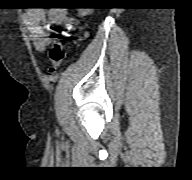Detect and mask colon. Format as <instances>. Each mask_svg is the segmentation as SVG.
Listing matches in <instances>:
<instances>
[{
  "label": "colon",
  "mask_w": 192,
  "mask_h": 180,
  "mask_svg": "<svg viewBox=\"0 0 192 180\" xmlns=\"http://www.w3.org/2000/svg\"><path fill=\"white\" fill-rule=\"evenodd\" d=\"M69 38L66 32L55 34L53 43L49 49L50 71L55 72L63 63L64 60V45L63 41Z\"/></svg>",
  "instance_id": "colon-1"
}]
</instances>
